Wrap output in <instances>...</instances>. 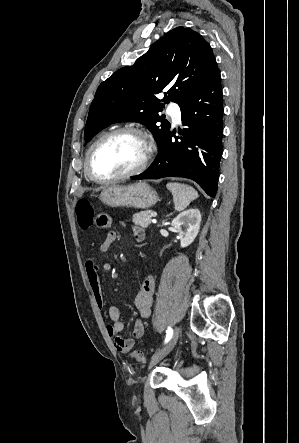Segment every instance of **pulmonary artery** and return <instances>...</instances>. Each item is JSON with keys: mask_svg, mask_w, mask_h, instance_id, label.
Returning <instances> with one entry per match:
<instances>
[{"mask_svg": "<svg viewBox=\"0 0 299 443\" xmlns=\"http://www.w3.org/2000/svg\"><path fill=\"white\" fill-rule=\"evenodd\" d=\"M167 113L174 122L180 123L181 113H180V108L177 104L171 103L167 108Z\"/></svg>", "mask_w": 299, "mask_h": 443, "instance_id": "1", "label": "pulmonary artery"}]
</instances>
